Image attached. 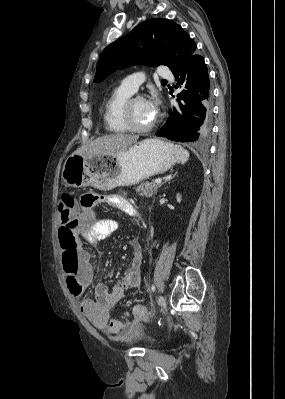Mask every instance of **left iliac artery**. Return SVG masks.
Listing matches in <instances>:
<instances>
[{
    "label": "left iliac artery",
    "mask_w": 285,
    "mask_h": 399,
    "mask_svg": "<svg viewBox=\"0 0 285 399\" xmlns=\"http://www.w3.org/2000/svg\"><path fill=\"white\" fill-rule=\"evenodd\" d=\"M151 290L154 292L155 291V286L152 285Z\"/></svg>",
    "instance_id": "1"
}]
</instances>
